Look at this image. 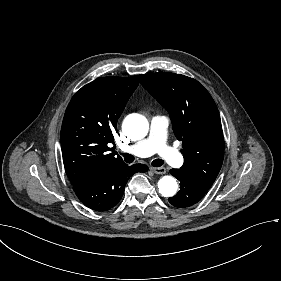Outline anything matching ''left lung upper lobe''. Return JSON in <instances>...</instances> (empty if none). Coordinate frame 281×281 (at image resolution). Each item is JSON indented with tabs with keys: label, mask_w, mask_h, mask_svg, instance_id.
I'll return each instance as SVG.
<instances>
[{
	"label": "left lung upper lobe",
	"mask_w": 281,
	"mask_h": 281,
	"mask_svg": "<svg viewBox=\"0 0 281 281\" xmlns=\"http://www.w3.org/2000/svg\"><path fill=\"white\" fill-rule=\"evenodd\" d=\"M140 81L169 112L174 134L183 142L184 164L179 170L209 189L224 157L220 116L211 95L195 79L175 73L140 75Z\"/></svg>",
	"instance_id": "obj_1"
}]
</instances>
